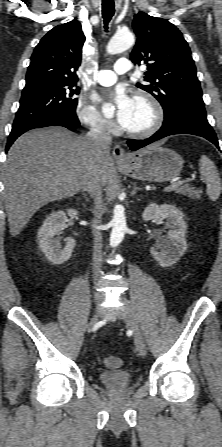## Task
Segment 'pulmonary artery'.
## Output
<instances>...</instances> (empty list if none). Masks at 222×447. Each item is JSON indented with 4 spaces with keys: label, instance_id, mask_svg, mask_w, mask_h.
<instances>
[{
    "label": "pulmonary artery",
    "instance_id": "1",
    "mask_svg": "<svg viewBox=\"0 0 222 447\" xmlns=\"http://www.w3.org/2000/svg\"><path fill=\"white\" fill-rule=\"evenodd\" d=\"M131 63L128 59L118 60L114 66V71L100 70L94 77L95 82L102 86L113 85L118 75L127 74L130 70Z\"/></svg>",
    "mask_w": 222,
    "mask_h": 447
}]
</instances>
